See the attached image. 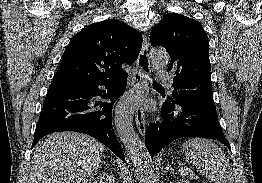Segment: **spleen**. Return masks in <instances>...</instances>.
Here are the masks:
<instances>
[{"instance_id":"obj_1","label":"spleen","mask_w":262,"mask_h":183,"mask_svg":"<svg viewBox=\"0 0 262 183\" xmlns=\"http://www.w3.org/2000/svg\"><path fill=\"white\" fill-rule=\"evenodd\" d=\"M181 150L207 179L214 183H233L229 159L212 141L203 138L188 139L182 144Z\"/></svg>"}]
</instances>
